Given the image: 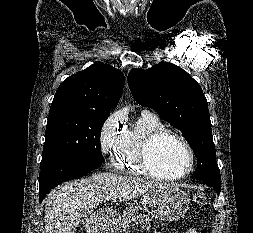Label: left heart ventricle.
Listing matches in <instances>:
<instances>
[{
	"label": "left heart ventricle",
	"mask_w": 253,
	"mask_h": 233,
	"mask_svg": "<svg viewBox=\"0 0 253 233\" xmlns=\"http://www.w3.org/2000/svg\"><path fill=\"white\" fill-rule=\"evenodd\" d=\"M150 164L160 175L177 176L188 169L189 154L178 141L169 137L163 138L152 149Z\"/></svg>",
	"instance_id": "b2bd125f"
}]
</instances>
